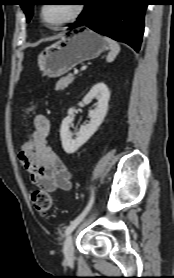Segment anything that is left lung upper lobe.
<instances>
[{"label": "left lung upper lobe", "instance_id": "obj_1", "mask_svg": "<svg viewBox=\"0 0 174 278\" xmlns=\"http://www.w3.org/2000/svg\"><path fill=\"white\" fill-rule=\"evenodd\" d=\"M85 0H82L84 3ZM37 0H22L21 7L24 10L27 21L29 22L33 15V5H35Z\"/></svg>", "mask_w": 174, "mask_h": 278}]
</instances>
